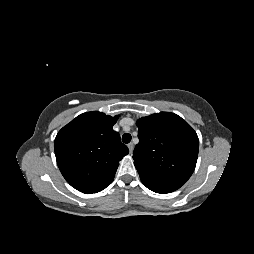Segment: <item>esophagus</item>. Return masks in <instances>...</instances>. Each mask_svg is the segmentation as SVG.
<instances>
[{
    "label": "esophagus",
    "mask_w": 254,
    "mask_h": 254,
    "mask_svg": "<svg viewBox=\"0 0 254 254\" xmlns=\"http://www.w3.org/2000/svg\"><path fill=\"white\" fill-rule=\"evenodd\" d=\"M128 148H129L130 153H132L133 150H134V144L133 143H129L128 144Z\"/></svg>",
    "instance_id": "1"
}]
</instances>
